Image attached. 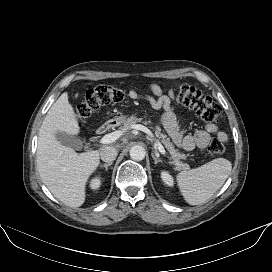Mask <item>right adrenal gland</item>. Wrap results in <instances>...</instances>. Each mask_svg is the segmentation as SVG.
I'll use <instances>...</instances> for the list:
<instances>
[{
  "label": "right adrenal gland",
  "mask_w": 272,
  "mask_h": 272,
  "mask_svg": "<svg viewBox=\"0 0 272 272\" xmlns=\"http://www.w3.org/2000/svg\"><path fill=\"white\" fill-rule=\"evenodd\" d=\"M112 165V162H109V163H105L103 165H100V167H104L105 170L107 171L108 170V167Z\"/></svg>",
  "instance_id": "right-adrenal-gland-1"
}]
</instances>
